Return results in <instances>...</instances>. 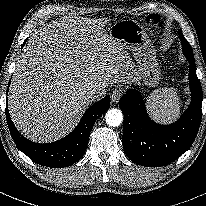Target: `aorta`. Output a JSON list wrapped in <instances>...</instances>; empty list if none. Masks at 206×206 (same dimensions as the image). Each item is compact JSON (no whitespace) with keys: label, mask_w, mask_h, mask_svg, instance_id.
Returning a JSON list of instances; mask_svg holds the SVG:
<instances>
[{"label":"aorta","mask_w":206,"mask_h":206,"mask_svg":"<svg viewBox=\"0 0 206 206\" xmlns=\"http://www.w3.org/2000/svg\"><path fill=\"white\" fill-rule=\"evenodd\" d=\"M105 119L109 126L117 127L123 121V114L119 109H110L107 111Z\"/></svg>","instance_id":"aorta-1"}]
</instances>
